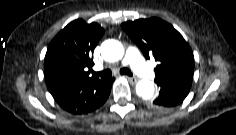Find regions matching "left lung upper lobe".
I'll return each instance as SVG.
<instances>
[{
  "mask_svg": "<svg viewBox=\"0 0 236 135\" xmlns=\"http://www.w3.org/2000/svg\"><path fill=\"white\" fill-rule=\"evenodd\" d=\"M146 59L154 57L155 81L169 78H190L194 74V56L182 35L159 18L138 19L121 24Z\"/></svg>",
  "mask_w": 236,
  "mask_h": 135,
  "instance_id": "1",
  "label": "left lung upper lobe"
}]
</instances>
